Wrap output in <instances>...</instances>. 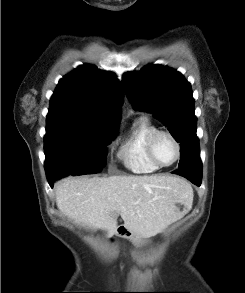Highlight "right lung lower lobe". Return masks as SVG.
I'll return each mask as SVG.
<instances>
[{
	"mask_svg": "<svg viewBox=\"0 0 245 293\" xmlns=\"http://www.w3.org/2000/svg\"><path fill=\"white\" fill-rule=\"evenodd\" d=\"M48 182H49V185H50L51 187H53L55 180H48Z\"/></svg>",
	"mask_w": 245,
	"mask_h": 293,
	"instance_id": "1",
	"label": "right lung lower lobe"
}]
</instances>
